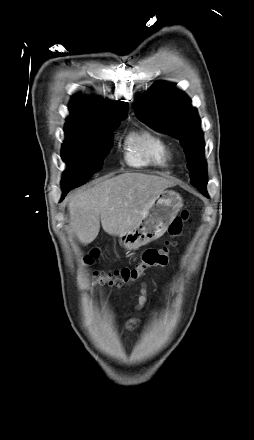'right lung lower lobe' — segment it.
<instances>
[{
    "label": "right lung lower lobe",
    "mask_w": 254,
    "mask_h": 440,
    "mask_svg": "<svg viewBox=\"0 0 254 440\" xmlns=\"http://www.w3.org/2000/svg\"><path fill=\"white\" fill-rule=\"evenodd\" d=\"M69 191L63 190V194L66 195Z\"/></svg>",
    "instance_id": "right-lung-lower-lobe-1"
}]
</instances>
